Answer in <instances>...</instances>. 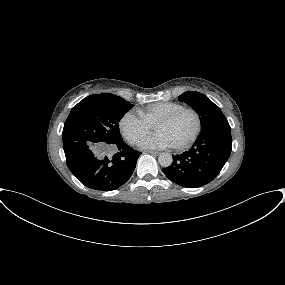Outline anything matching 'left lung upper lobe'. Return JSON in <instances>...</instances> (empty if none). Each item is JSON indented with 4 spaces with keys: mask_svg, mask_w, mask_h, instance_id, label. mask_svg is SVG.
Segmentation results:
<instances>
[{
    "mask_svg": "<svg viewBox=\"0 0 285 285\" xmlns=\"http://www.w3.org/2000/svg\"><path fill=\"white\" fill-rule=\"evenodd\" d=\"M179 100L187 103L199 114L202 129L213 125H229L219 107L207 96L187 91L179 96Z\"/></svg>",
    "mask_w": 285,
    "mask_h": 285,
    "instance_id": "obj_1",
    "label": "left lung upper lobe"
}]
</instances>
